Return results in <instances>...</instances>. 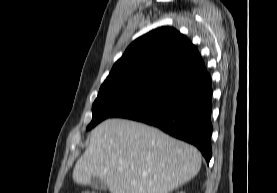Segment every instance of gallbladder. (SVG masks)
<instances>
[{"mask_svg": "<svg viewBox=\"0 0 277 193\" xmlns=\"http://www.w3.org/2000/svg\"><path fill=\"white\" fill-rule=\"evenodd\" d=\"M90 186L96 190H107L108 188L104 180L99 177H93L91 179Z\"/></svg>", "mask_w": 277, "mask_h": 193, "instance_id": "1", "label": "gallbladder"}]
</instances>
